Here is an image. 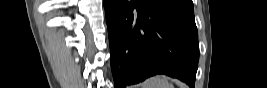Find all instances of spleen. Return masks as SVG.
Masks as SVG:
<instances>
[{
	"label": "spleen",
	"mask_w": 267,
	"mask_h": 88,
	"mask_svg": "<svg viewBox=\"0 0 267 88\" xmlns=\"http://www.w3.org/2000/svg\"><path fill=\"white\" fill-rule=\"evenodd\" d=\"M141 88H174V86L165 75H156L145 80Z\"/></svg>",
	"instance_id": "spleen-1"
}]
</instances>
